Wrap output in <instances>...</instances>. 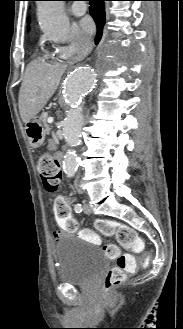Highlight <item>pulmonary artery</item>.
Segmentation results:
<instances>
[{
    "instance_id": "e3ab8cb5",
    "label": "pulmonary artery",
    "mask_w": 183,
    "mask_h": 329,
    "mask_svg": "<svg viewBox=\"0 0 183 329\" xmlns=\"http://www.w3.org/2000/svg\"><path fill=\"white\" fill-rule=\"evenodd\" d=\"M87 11V5L82 2H76L71 7V12L75 16H81Z\"/></svg>"
}]
</instances>
